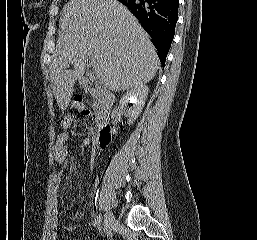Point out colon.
<instances>
[{
    "instance_id": "colon-1",
    "label": "colon",
    "mask_w": 257,
    "mask_h": 240,
    "mask_svg": "<svg viewBox=\"0 0 257 240\" xmlns=\"http://www.w3.org/2000/svg\"><path fill=\"white\" fill-rule=\"evenodd\" d=\"M72 107L77 111H82L84 114H87L88 111L85 109L84 103L81 97L76 96L72 102ZM72 119V116H68L66 119V123H68Z\"/></svg>"
}]
</instances>
